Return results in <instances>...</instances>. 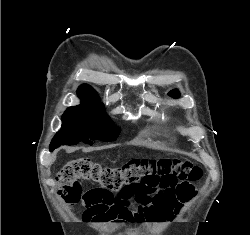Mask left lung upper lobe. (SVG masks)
I'll return each instance as SVG.
<instances>
[{
  "label": "left lung upper lobe",
  "instance_id": "1",
  "mask_svg": "<svg viewBox=\"0 0 250 235\" xmlns=\"http://www.w3.org/2000/svg\"><path fill=\"white\" fill-rule=\"evenodd\" d=\"M169 95L176 98L179 96V93L177 90H173L169 92Z\"/></svg>",
  "mask_w": 250,
  "mask_h": 235
}]
</instances>
